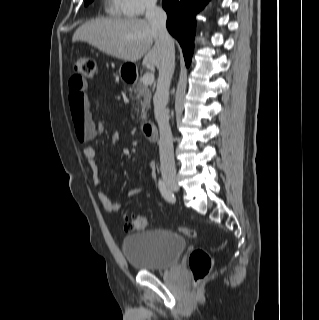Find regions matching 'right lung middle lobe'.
Listing matches in <instances>:
<instances>
[{
	"instance_id": "dd1d6c3e",
	"label": "right lung middle lobe",
	"mask_w": 319,
	"mask_h": 320,
	"mask_svg": "<svg viewBox=\"0 0 319 320\" xmlns=\"http://www.w3.org/2000/svg\"><path fill=\"white\" fill-rule=\"evenodd\" d=\"M93 0H88L85 2V5H87L88 3H91Z\"/></svg>"
}]
</instances>
